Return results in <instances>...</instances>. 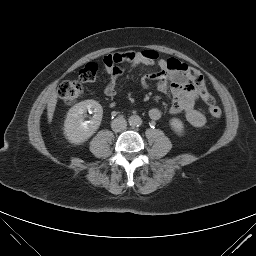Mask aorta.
Returning <instances> with one entry per match:
<instances>
[{
    "label": "aorta",
    "mask_w": 256,
    "mask_h": 256,
    "mask_svg": "<svg viewBox=\"0 0 256 256\" xmlns=\"http://www.w3.org/2000/svg\"><path fill=\"white\" fill-rule=\"evenodd\" d=\"M128 122L130 126L135 127L141 124V118L138 115H132L129 117Z\"/></svg>",
    "instance_id": "1"
}]
</instances>
